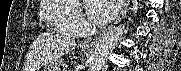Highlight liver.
Listing matches in <instances>:
<instances>
[{
	"mask_svg": "<svg viewBox=\"0 0 181 71\" xmlns=\"http://www.w3.org/2000/svg\"><path fill=\"white\" fill-rule=\"evenodd\" d=\"M76 46L74 39L58 34H42L33 43L27 56L24 71H38L44 62L57 61L63 55L72 51Z\"/></svg>",
	"mask_w": 181,
	"mask_h": 71,
	"instance_id": "1",
	"label": "liver"
}]
</instances>
